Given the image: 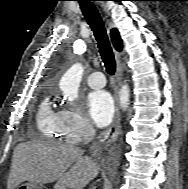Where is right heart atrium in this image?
Instances as JSON below:
<instances>
[{"instance_id":"obj_1","label":"right heart atrium","mask_w":188,"mask_h":189,"mask_svg":"<svg viewBox=\"0 0 188 189\" xmlns=\"http://www.w3.org/2000/svg\"><path fill=\"white\" fill-rule=\"evenodd\" d=\"M63 133L69 142H78L82 137L89 136L93 128L89 120L77 107H66L60 112Z\"/></svg>"}]
</instances>
